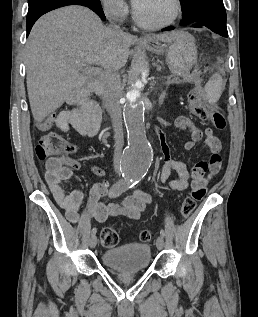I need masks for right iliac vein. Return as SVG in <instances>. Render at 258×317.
<instances>
[{
	"mask_svg": "<svg viewBox=\"0 0 258 317\" xmlns=\"http://www.w3.org/2000/svg\"><path fill=\"white\" fill-rule=\"evenodd\" d=\"M97 244H98V241H97L96 234H91L89 246H93V249H94Z\"/></svg>",
	"mask_w": 258,
	"mask_h": 317,
	"instance_id": "63e3f726",
	"label": "right iliac vein"
}]
</instances>
